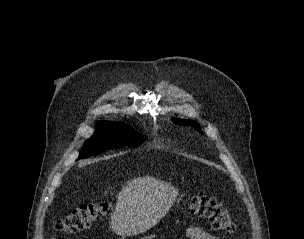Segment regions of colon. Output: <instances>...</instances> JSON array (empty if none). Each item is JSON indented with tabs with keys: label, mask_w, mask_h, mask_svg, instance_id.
<instances>
[{
	"label": "colon",
	"mask_w": 304,
	"mask_h": 239,
	"mask_svg": "<svg viewBox=\"0 0 304 239\" xmlns=\"http://www.w3.org/2000/svg\"><path fill=\"white\" fill-rule=\"evenodd\" d=\"M109 209L110 204L107 202L79 205L60 217L55 228L64 234L81 231L102 218ZM188 210L191 214L208 219L216 231L228 234L235 231V224L228 209L214 197L192 196L188 198Z\"/></svg>",
	"instance_id": "5ec220e1"
}]
</instances>
